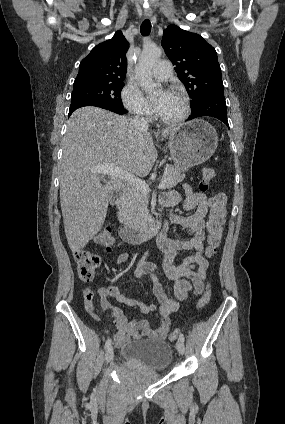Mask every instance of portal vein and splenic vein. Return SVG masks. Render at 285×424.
<instances>
[{
  "instance_id": "portal-vein-and-splenic-vein-1",
  "label": "portal vein and splenic vein",
  "mask_w": 285,
  "mask_h": 424,
  "mask_svg": "<svg viewBox=\"0 0 285 424\" xmlns=\"http://www.w3.org/2000/svg\"><path fill=\"white\" fill-rule=\"evenodd\" d=\"M93 171L96 173L104 174V175H110L112 177L120 178L124 181H126L128 184L132 185L137 190H140L145 193H149L150 189L148 184L133 175L132 173L127 172L126 170L117 167L114 164L110 165H103L99 167L93 168ZM165 186V181L162 180L160 184L158 185V189H163Z\"/></svg>"
}]
</instances>
